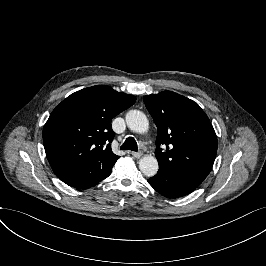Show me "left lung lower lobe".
Returning <instances> with one entry per match:
<instances>
[{"label": "left lung lower lobe", "mask_w": 266, "mask_h": 266, "mask_svg": "<svg viewBox=\"0 0 266 266\" xmlns=\"http://www.w3.org/2000/svg\"><path fill=\"white\" fill-rule=\"evenodd\" d=\"M148 183L161 195L167 198H178L188 195L200 184L169 170L159 168L157 174Z\"/></svg>", "instance_id": "obj_1"}]
</instances>
